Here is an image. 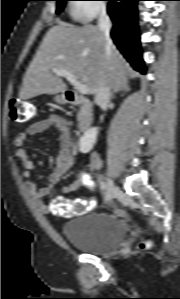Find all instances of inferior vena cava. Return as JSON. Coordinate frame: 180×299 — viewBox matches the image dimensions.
<instances>
[{"mask_svg": "<svg viewBox=\"0 0 180 299\" xmlns=\"http://www.w3.org/2000/svg\"><path fill=\"white\" fill-rule=\"evenodd\" d=\"M98 27L104 33V36L107 41V45L110 46L112 44V41L110 39L111 21L105 8H102L99 11ZM110 97H111L110 88L103 81H101L96 91V96H95L96 104L101 105L107 103L110 100Z\"/></svg>", "mask_w": 180, "mask_h": 299, "instance_id": "obj_1", "label": "inferior vena cava"}]
</instances>
